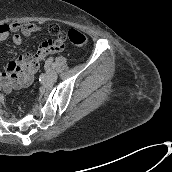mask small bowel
Here are the masks:
<instances>
[{
    "label": "small bowel",
    "instance_id": "obj_1",
    "mask_svg": "<svg viewBox=\"0 0 172 172\" xmlns=\"http://www.w3.org/2000/svg\"><path fill=\"white\" fill-rule=\"evenodd\" d=\"M50 27L59 29L55 24ZM49 27V28H50ZM25 28H29L28 32L24 31ZM39 27L34 24H20L11 23L0 25V43L5 42L11 33L12 41L15 45H21L23 42V36H29L34 32H37ZM65 49V44L62 40H50L41 43L38 46L37 51L34 54H25L18 58L16 62H13L10 66V72L15 80V87H25L33 79L34 74L39 68L40 62L49 54H55ZM3 76L0 74V80Z\"/></svg>",
    "mask_w": 172,
    "mask_h": 172
}]
</instances>
